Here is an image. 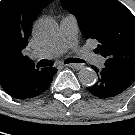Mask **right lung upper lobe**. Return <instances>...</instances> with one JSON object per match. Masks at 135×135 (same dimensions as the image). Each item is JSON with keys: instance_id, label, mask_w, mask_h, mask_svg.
Returning a JSON list of instances; mask_svg holds the SVG:
<instances>
[{"instance_id": "cb5924a9", "label": "right lung upper lobe", "mask_w": 135, "mask_h": 135, "mask_svg": "<svg viewBox=\"0 0 135 135\" xmlns=\"http://www.w3.org/2000/svg\"><path fill=\"white\" fill-rule=\"evenodd\" d=\"M52 1H0V82L19 71L36 69L34 62L24 55V48L34 19Z\"/></svg>"}]
</instances>
